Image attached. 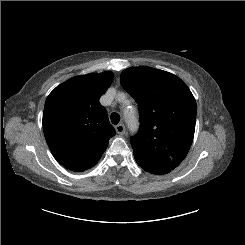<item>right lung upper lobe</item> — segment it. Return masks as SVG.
I'll list each match as a JSON object with an SVG mask.
<instances>
[{
  "label": "right lung upper lobe",
  "instance_id": "cb5924a9",
  "mask_svg": "<svg viewBox=\"0 0 245 245\" xmlns=\"http://www.w3.org/2000/svg\"><path fill=\"white\" fill-rule=\"evenodd\" d=\"M113 80V73L73 77L47 97L43 130L55 159L67 169L82 172L93 167L115 135L99 98Z\"/></svg>",
  "mask_w": 245,
  "mask_h": 245
}]
</instances>
